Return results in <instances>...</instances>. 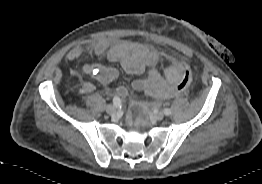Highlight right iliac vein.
Instances as JSON below:
<instances>
[{
    "mask_svg": "<svg viewBox=\"0 0 262 184\" xmlns=\"http://www.w3.org/2000/svg\"><path fill=\"white\" fill-rule=\"evenodd\" d=\"M106 112L109 115H114L116 113V108L113 105H107L106 106Z\"/></svg>",
    "mask_w": 262,
    "mask_h": 184,
    "instance_id": "obj_1",
    "label": "right iliac vein"
}]
</instances>
